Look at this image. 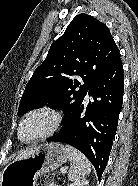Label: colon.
<instances>
[{
    "mask_svg": "<svg viewBox=\"0 0 138 186\" xmlns=\"http://www.w3.org/2000/svg\"><path fill=\"white\" fill-rule=\"evenodd\" d=\"M62 177L59 174L42 176L38 180V186H59Z\"/></svg>",
    "mask_w": 138,
    "mask_h": 186,
    "instance_id": "5ec220e1",
    "label": "colon"
}]
</instances>
